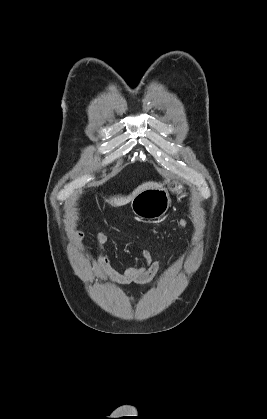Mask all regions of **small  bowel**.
Returning a JSON list of instances; mask_svg holds the SVG:
<instances>
[{"mask_svg":"<svg viewBox=\"0 0 267 419\" xmlns=\"http://www.w3.org/2000/svg\"><path fill=\"white\" fill-rule=\"evenodd\" d=\"M84 237L82 231H77L74 234L73 240L75 244H79ZM107 241V235L100 233L97 236V249L99 253L98 264L101 272L105 277L115 284L146 283L151 281L160 270V263L157 260H152L151 253L144 249L142 250L143 263L138 266H130L123 272L115 270L106 258L103 247Z\"/></svg>","mask_w":267,"mask_h":419,"instance_id":"small-bowel-1","label":"small bowel"}]
</instances>
